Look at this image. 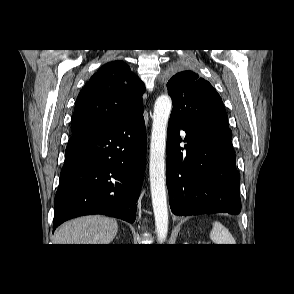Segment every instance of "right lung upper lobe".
<instances>
[{
  "label": "right lung upper lobe",
  "mask_w": 294,
  "mask_h": 294,
  "mask_svg": "<svg viewBox=\"0 0 294 294\" xmlns=\"http://www.w3.org/2000/svg\"><path fill=\"white\" fill-rule=\"evenodd\" d=\"M142 81L122 61L103 65L80 91L72 134L112 125L143 107Z\"/></svg>",
  "instance_id": "1"
}]
</instances>
